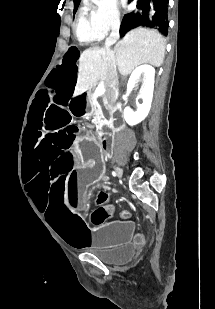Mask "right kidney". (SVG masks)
Segmentation results:
<instances>
[{
  "instance_id": "1",
  "label": "right kidney",
  "mask_w": 215,
  "mask_h": 309,
  "mask_svg": "<svg viewBox=\"0 0 215 309\" xmlns=\"http://www.w3.org/2000/svg\"><path fill=\"white\" fill-rule=\"evenodd\" d=\"M141 74H143L145 80L136 98L138 110L134 112V110H132L130 106H126L123 112V116L126 122H128V124H131V126L132 124H138V122L144 120L145 116H147L151 108V102L153 98L155 68H153V66H150V64H140V66H136L135 70H133L132 74H130V78L127 82V88L128 90L134 88L135 82L136 80H138V78H140ZM138 98H143L142 104H139Z\"/></svg>"
}]
</instances>
